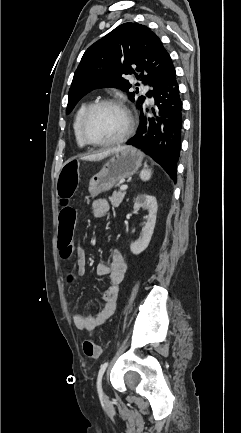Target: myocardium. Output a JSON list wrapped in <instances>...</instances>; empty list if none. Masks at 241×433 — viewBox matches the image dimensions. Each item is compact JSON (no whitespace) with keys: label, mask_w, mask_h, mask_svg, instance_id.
<instances>
[{"label":"myocardium","mask_w":241,"mask_h":433,"mask_svg":"<svg viewBox=\"0 0 241 433\" xmlns=\"http://www.w3.org/2000/svg\"><path fill=\"white\" fill-rule=\"evenodd\" d=\"M103 106H115V107L121 109L125 115V118H126V128H125L124 132L118 138L111 140V141H107V142H99V141L92 140L88 136L87 130H86L87 122H88L90 116L93 114V112L95 110H97L98 108L103 107ZM133 127H134V121H133V117H132V114H131L129 108L121 100L112 99V98H105V99L95 101L94 103L90 104V106L86 109V111L84 112V114L81 118L80 133H81V136H82L84 142L87 145L94 146V147H111V146H116V145H119V144L125 142L129 138V136L131 135V133L133 131Z\"/></svg>","instance_id":"1"}]
</instances>
